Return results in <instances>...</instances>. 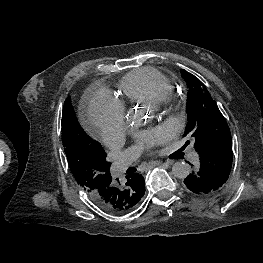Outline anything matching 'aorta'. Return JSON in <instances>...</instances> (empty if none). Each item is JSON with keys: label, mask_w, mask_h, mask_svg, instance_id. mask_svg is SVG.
Masks as SVG:
<instances>
[{"label": "aorta", "mask_w": 263, "mask_h": 263, "mask_svg": "<svg viewBox=\"0 0 263 263\" xmlns=\"http://www.w3.org/2000/svg\"><path fill=\"white\" fill-rule=\"evenodd\" d=\"M190 173V166L185 162H176L172 167V174L179 179H185Z\"/></svg>", "instance_id": "762f6f07"}]
</instances>
